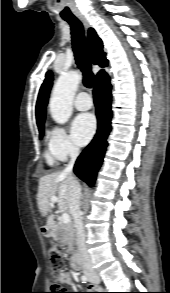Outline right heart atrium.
<instances>
[{"mask_svg":"<svg viewBox=\"0 0 170 293\" xmlns=\"http://www.w3.org/2000/svg\"><path fill=\"white\" fill-rule=\"evenodd\" d=\"M49 150L57 159L66 160L78 152V147L63 127L54 126L50 131Z\"/></svg>","mask_w":170,"mask_h":293,"instance_id":"1","label":"right heart atrium"}]
</instances>
